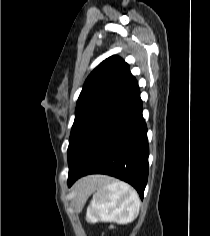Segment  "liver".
I'll use <instances>...</instances> for the list:
<instances>
[{
	"label": "liver",
	"mask_w": 210,
	"mask_h": 236,
	"mask_svg": "<svg viewBox=\"0 0 210 236\" xmlns=\"http://www.w3.org/2000/svg\"><path fill=\"white\" fill-rule=\"evenodd\" d=\"M101 179V176H90V177H86L85 179H83L80 183L81 185H84L85 183H91V182H96L98 180Z\"/></svg>",
	"instance_id": "obj_1"
}]
</instances>
